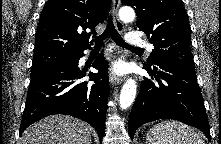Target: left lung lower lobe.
<instances>
[{
	"mask_svg": "<svg viewBox=\"0 0 221 144\" xmlns=\"http://www.w3.org/2000/svg\"><path fill=\"white\" fill-rule=\"evenodd\" d=\"M154 79L144 78L129 117V133L159 119H174L200 129L208 138L210 126L195 69L173 63H144Z\"/></svg>",
	"mask_w": 221,
	"mask_h": 144,
	"instance_id": "left-lung-lower-lobe-1",
	"label": "left lung lower lobe"
}]
</instances>
